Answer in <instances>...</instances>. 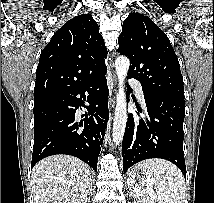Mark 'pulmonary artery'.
<instances>
[{"label": "pulmonary artery", "mask_w": 214, "mask_h": 203, "mask_svg": "<svg viewBox=\"0 0 214 203\" xmlns=\"http://www.w3.org/2000/svg\"><path fill=\"white\" fill-rule=\"evenodd\" d=\"M130 84L135 89L137 97L140 100V102L144 103V93L141 83L137 80H131Z\"/></svg>", "instance_id": "1"}]
</instances>
